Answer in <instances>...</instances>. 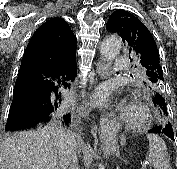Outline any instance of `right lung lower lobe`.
Instances as JSON below:
<instances>
[{
	"label": "right lung lower lobe",
	"mask_w": 177,
	"mask_h": 169,
	"mask_svg": "<svg viewBox=\"0 0 177 169\" xmlns=\"http://www.w3.org/2000/svg\"><path fill=\"white\" fill-rule=\"evenodd\" d=\"M77 65L49 66L22 62L13 90L6 131L68 123L63 90L70 87Z\"/></svg>",
	"instance_id": "obj_1"
}]
</instances>
